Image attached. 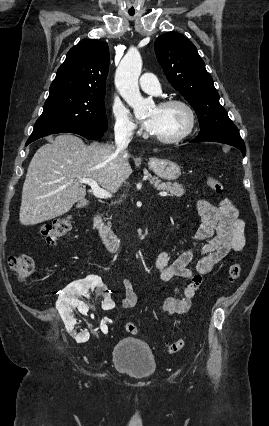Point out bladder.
<instances>
[{"instance_id":"obj_1","label":"bladder","mask_w":269,"mask_h":426,"mask_svg":"<svg viewBox=\"0 0 269 426\" xmlns=\"http://www.w3.org/2000/svg\"><path fill=\"white\" fill-rule=\"evenodd\" d=\"M113 367L137 378L151 376L156 370V359L147 343L139 338L127 337L119 340L112 350Z\"/></svg>"}]
</instances>
